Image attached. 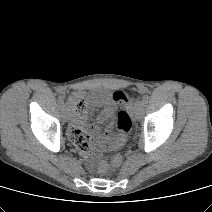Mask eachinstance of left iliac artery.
<instances>
[{"instance_id":"obj_1","label":"left iliac artery","mask_w":212,"mask_h":212,"mask_svg":"<svg viewBox=\"0 0 212 212\" xmlns=\"http://www.w3.org/2000/svg\"><path fill=\"white\" fill-rule=\"evenodd\" d=\"M148 99H149V96H148L147 94H144L143 97H142L143 103H144V104H147Z\"/></svg>"}]
</instances>
